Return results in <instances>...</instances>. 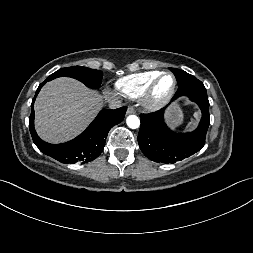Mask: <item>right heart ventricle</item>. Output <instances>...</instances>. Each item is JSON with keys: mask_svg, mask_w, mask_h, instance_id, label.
<instances>
[{"mask_svg": "<svg viewBox=\"0 0 253 253\" xmlns=\"http://www.w3.org/2000/svg\"><path fill=\"white\" fill-rule=\"evenodd\" d=\"M160 71H147L131 74L120 78L116 82L119 91L131 99L144 95L150 83L160 74Z\"/></svg>", "mask_w": 253, "mask_h": 253, "instance_id": "right-heart-ventricle-1", "label": "right heart ventricle"}]
</instances>
